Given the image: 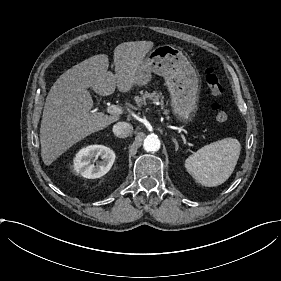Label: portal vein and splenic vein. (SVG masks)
<instances>
[{
    "instance_id": "1",
    "label": "portal vein and splenic vein",
    "mask_w": 281,
    "mask_h": 281,
    "mask_svg": "<svg viewBox=\"0 0 281 281\" xmlns=\"http://www.w3.org/2000/svg\"><path fill=\"white\" fill-rule=\"evenodd\" d=\"M108 112L111 115H123L124 111L122 110V108L118 105H113V104H109L108 105Z\"/></svg>"
}]
</instances>
